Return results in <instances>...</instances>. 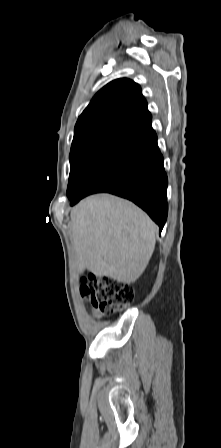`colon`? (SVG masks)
<instances>
[{
    "mask_svg": "<svg viewBox=\"0 0 221 448\" xmlns=\"http://www.w3.org/2000/svg\"><path fill=\"white\" fill-rule=\"evenodd\" d=\"M81 295L100 314H109L130 305L134 300V290L126 283L108 276L89 275L82 281Z\"/></svg>",
    "mask_w": 221,
    "mask_h": 448,
    "instance_id": "1",
    "label": "colon"
}]
</instances>
